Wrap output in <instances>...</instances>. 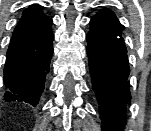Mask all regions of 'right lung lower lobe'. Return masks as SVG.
<instances>
[{
	"instance_id": "obj_1",
	"label": "right lung lower lobe",
	"mask_w": 151,
	"mask_h": 131,
	"mask_svg": "<svg viewBox=\"0 0 151 131\" xmlns=\"http://www.w3.org/2000/svg\"><path fill=\"white\" fill-rule=\"evenodd\" d=\"M46 60L32 73L18 79L15 82L5 84L6 90L2 98L5 101H24L33 105L38 104L44 90L46 75L49 72L50 60L53 48Z\"/></svg>"
}]
</instances>
